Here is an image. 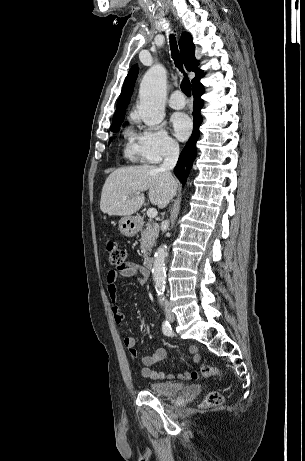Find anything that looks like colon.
<instances>
[{"label":"colon","mask_w":305,"mask_h":461,"mask_svg":"<svg viewBox=\"0 0 305 461\" xmlns=\"http://www.w3.org/2000/svg\"><path fill=\"white\" fill-rule=\"evenodd\" d=\"M106 254L110 265L116 271H122L126 268L127 265V254L126 251L121 248L115 242H109L106 245ZM219 375V371L217 368L213 366H202L199 370L193 371L190 374L191 379L197 380L200 378H207L211 376ZM223 402V396L221 393L217 391H212L206 395L203 402L201 403V407L209 408V407H217L220 406Z\"/></svg>","instance_id":"1"}]
</instances>
